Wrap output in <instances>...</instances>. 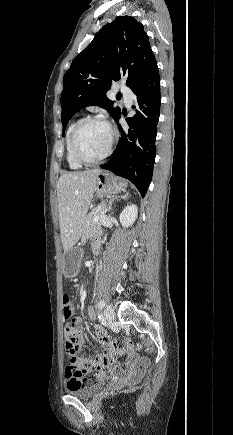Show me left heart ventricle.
Returning a JSON list of instances; mask_svg holds the SVG:
<instances>
[{
  "label": "left heart ventricle",
  "instance_id": "1",
  "mask_svg": "<svg viewBox=\"0 0 233 435\" xmlns=\"http://www.w3.org/2000/svg\"><path fill=\"white\" fill-rule=\"evenodd\" d=\"M110 131L106 124L90 122L85 124L78 135V144L88 159H96L107 149Z\"/></svg>",
  "mask_w": 233,
  "mask_h": 435
}]
</instances>
